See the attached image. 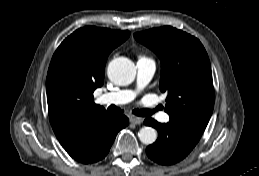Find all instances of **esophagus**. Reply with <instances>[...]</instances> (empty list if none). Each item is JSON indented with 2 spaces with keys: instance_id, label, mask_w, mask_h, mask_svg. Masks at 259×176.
Here are the masks:
<instances>
[{
  "instance_id": "esophagus-1",
  "label": "esophagus",
  "mask_w": 259,
  "mask_h": 176,
  "mask_svg": "<svg viewBox=\"0 0 259 176\" xmlns=\"http://www.w3.org/2000/svg\"><path fill=\"white\" fill-rule=\"evenodd\" d=\"M142 118H140V117H135V116H132V117H130V122L132 123V124H135V125H139V124H141L142 123Z\"/></svg>"
}]
</instances>
